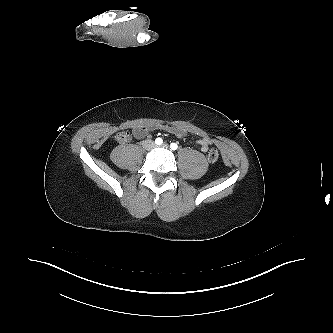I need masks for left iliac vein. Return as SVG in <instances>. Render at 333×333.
<instances>
[{
	"label": "left iliac vein",
	"instance_id": "1",
	"mask_svg": "<svg viewBox=\"0 0 333 333\" xmlns=\"http://www.w3.org/2000/svg\"><path fill=\"white\" fill-rule=\"evenodd\" d=\"M162 147L168 149L169 146L167 144H163Z\"/></svg>",
	"mask_w": 333,
	"mask_h": 333
}]
</instances>
